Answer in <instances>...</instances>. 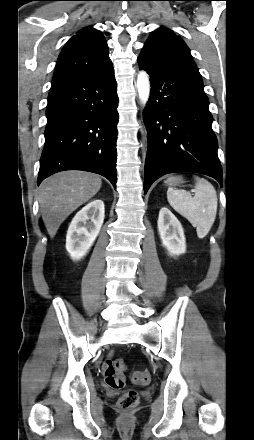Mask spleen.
Instances as JSON below:
<instances>
[{"mask_svg": "<svg viewBox=\"0 0 254 440\" xmlns=\"http://www.w3.org/2000/svg\"><path fill=\"white\" fill-rule=\"evenodd\" d=\"M195 195L189 192L168 188L169 204L193 227L197 236L204 238L210 231L217 213V194L213 185L206 179L195 177Z\"/></svg>", "mask_w": 254, "mask_h": 440, "instance_id": "spleen-1", "label": "spleen"}]
</instances>
